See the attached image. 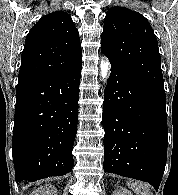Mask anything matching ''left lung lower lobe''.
Returning <instances> with one entry per match:
<instances>
[{
	"label": "left lung lower lobe",
	"instance_id": "obj_1",
	"mask_svg": "<svg viewBox=\"0 0 178 195\" xmlns=\"http://www.w3.org/2000/svg\"><path fill=\"white\" fill-rule=\"evenodd\" d=\"M102 121L104 170L158 190L167 158L164 88L111 67Z\"/></svg>",
	"mask_w": 178,
	"mask_h": 195
}]
</instances>
